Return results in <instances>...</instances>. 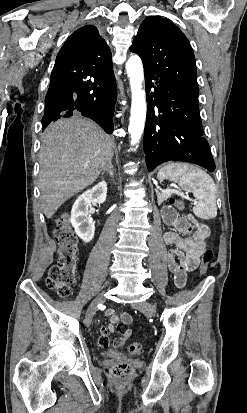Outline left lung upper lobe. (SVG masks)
<instances>
[{"mask_svg":"<svg viewBox=\"0 0 247 413\" xmlns=\"http://www.w3.org/2000/svg\"><path fill=\"white\" fill-rule=\"evenodd\" d=\"M130 50L141 57L144 69L188 92L199 94L193 50L186 36L170 20L147 17Z\"/></svg>","mask_w":247,"mask_h":413,"instance_id":"left-lung-upper-lobe-1","label":"left lung upper lobe"}]
</instances>
